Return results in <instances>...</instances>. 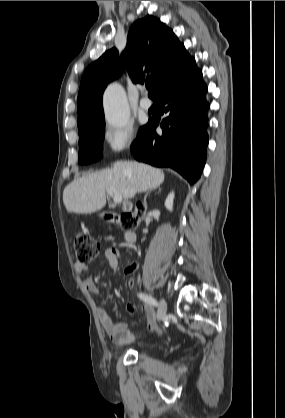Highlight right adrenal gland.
Returning a JSON list of instances; mask_svg holds the SVG:
<instances>
[{"label":"right adrenal gland","mask_w":285,"mask_h":418,"mask_svg":"<svg viewBox=\"0 0 285 418\" xmlns=\"http://www.w3.org/2000/svg\"><path fill=\"white\" fill-rule=\"evenodd\" d=\"M154 189H151V190H148L147 192H146V194H145V196H144V202H146V198H147V196H148V194L151 192V191H153Z\"/></svg>","instance_id":"1"}]
</instances>
